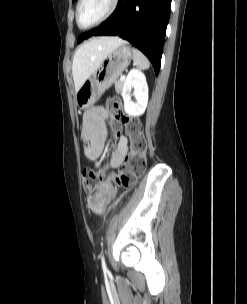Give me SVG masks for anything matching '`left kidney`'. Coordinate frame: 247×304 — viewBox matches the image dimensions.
Listing matches in <instances>:
<instances>
[{
  "label": "left kidney",
  "instance_id": "1",
  "mask_svg": "<svg viewBox=\"0 0 247 304\" xmlns=\"http://www.w3.org/2000/svg\"><path fill=\"white\" fill-rule=\"evenodd\" d=\"M132 88L136 102L131 99ZM122 97L124 110L129 116L136 117L145 112L148 103V85L145 75L140 70L132 69L128 73L122 88Z\"/></svg>",
  "mask_w": 247,
  "mask_h": 304
}]
</instances>
